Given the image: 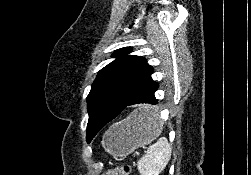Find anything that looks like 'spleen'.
Returning <instances> with one entry per match:
<instances>
[{
	"instance_id": "1",
	"label": "spleen",
	"mask_w": 251,
	"mask_h": 175,
	"mask_svg": "<svg viewBox=\"0 0 251 175\" xmlns=\"http://www.w3.org/2000/svg\"><path fill=\"white\" fill-rule=\"evenodd\" d=\"M141 113L146 115L147 119L153 117V111L141 109ZM159 127L161 121H157ZM171 157V145L166 141V137H160L156 143L147 147V153L137 161V169L141 175H158L166 167Z\"/></svg>"
}]
</instances>
